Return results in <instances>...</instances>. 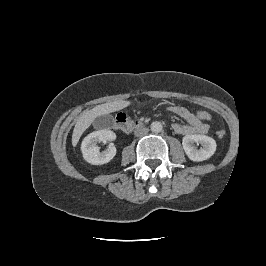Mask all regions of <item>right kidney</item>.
I'll list each match as a JSON object with an SVG mask.
<instances>
[{"mask_svg": "<svg viewBox=\"0 0 266 266\" xmlns=\"http://www.w3.org/2000/svg\"><path fill=\"white\" fill-rule=\"evenodd\" d=\"M116 139V134L108 129L95 131L86 136L81 144L83 158L90 164L103 165L108 163L116 155L114 145H109L103 151L99 150L96 145L98 141H113Z\"/></svg>", "mask_w": 266, "mask_h": 266, "instance_id": "1", "label": "right kidney"}]
</instances>
